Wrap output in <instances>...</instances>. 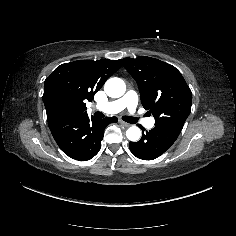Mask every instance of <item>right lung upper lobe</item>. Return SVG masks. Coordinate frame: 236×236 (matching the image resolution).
I'll list each match as a JSON object with an SVG mask.
<instances>
[{
    "instance_id": "cb5924a9",
    "label": "right lung upper lobe",
    "mask_w": 236,
    "mask_h": 236,
    "mask_svg": "<svg viewBox=\"0 0 236 236\" xmlns=\"http://www.w3.org/2000/svg\"><path fill=\"white\" fill-rule=\"evenodd\" d=\"M122 66V60H80L58 66L44 82L48 124L87 115L86 103Z\"/></svg>"
}]
</instances>
